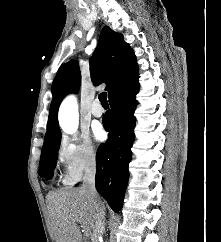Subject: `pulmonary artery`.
Instances as JSON below:
<instances>
[{"instance_id": "pulmonary-artery-1", "label": "pulmonary artery", "mask_w": 221, "mask_h": 242, "mask_svg": "<svg viewBox=\"0 0 221 242\" xmlns=\"http://www.w3.org/2000/svg\"><path fill=\"white\" fill-rule=\"evenodd\" d=\"M91 114L94 116V117H101L103 115V108L101 107L100 105V102L98 99H96L92 106H91Z\"/></svg>"}]
</instances>
